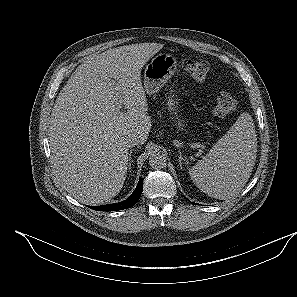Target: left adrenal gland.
Returning <instances> with one entry per match:
<instances>
[{"instance_id": "obj_1", "label": "left adrenal gland", "mask_w": 297, "mask_h": 297, "mask_svg": "<svg viewBox=\"0 0 297 297\" xmlns=\"http://www.w3.org/2000/svg\"><path fill=\"white\" fill-rule=\"evenodd\" d=\"M178 153H179V165H180V168L182 169V164L185 163L186 160H185V156L182 155L180 150L178 151Z\"/></svg>"}]
</instances>
